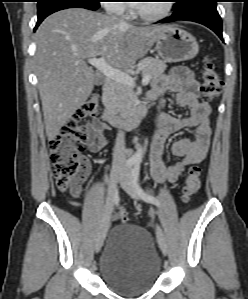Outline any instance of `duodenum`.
Wrapping results in <instances>:
<instances>
[{
  "label": "duodenum",
  "mask_w": 248,
  "mask_h": 299,
  "mask_svg": "<svg viewBox=\"0 0 248 299\" xmlns=\"http://www.w3.org/2000/svg\"><path fill=\"white\" fill-rule=\"evenodd\" d=\"M112 81H106L102 87L101 102L103 105L102 118L112 126H122L125 128L136 127L148 114V106L145 103L136 105L126 115H120L111 105V98L114 92Z\"/></svg>",
  "instance_id": "410a0bca"
}]
</instances>
